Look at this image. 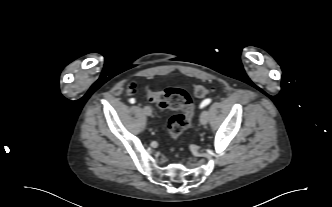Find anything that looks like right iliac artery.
<instances>
[{"instance_id": "82829eb1", "label": "right iliac artery", "mask_w": 332, "mask_h": 207, "mask_svg": "<svg viewBox=\"0 0 332 207\" xmlns=\"http://www.w3.org/2000/svg\"><path fill=\"white\" fill-rule=\"evenodd\" d=\"M129 102H130L131 104H134V103H135V99H134V98H131V99L129 100Z\"/></svg>"}]
</instances>
